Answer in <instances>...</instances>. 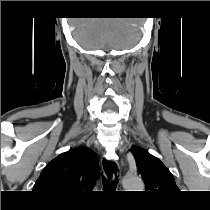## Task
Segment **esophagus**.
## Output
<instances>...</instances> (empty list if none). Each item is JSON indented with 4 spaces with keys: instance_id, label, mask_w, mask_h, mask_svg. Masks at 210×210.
<instances>
[{
    "instance_id": "1",
    "label": "esophagus",
    "mask_w": 210,
    "mask_h": 210,
    "mask_svg": "<svg viewBox=\"0 0 210 210\" xmlns=\"http://www.w3.org/2000/svg\"><path fill=\"white\" fill-rule=\"evenodd\" d=\"M115 164L117 165V168H119V165H118L117 161L110 160L105 155H102L101 166H102V169L104 171V175H105L108 182H111L114 179L113 174H112V169L114 168ZM118 177H119V179L121 178V173H118Z\"/></svg>"
}]
</instances>
